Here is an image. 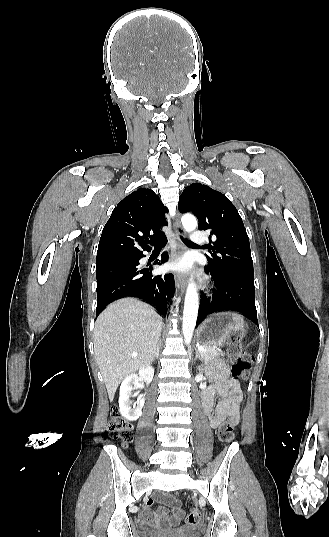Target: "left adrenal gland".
Here are the masks:
<instances>
[{
	"instance_id": "a2214340",
	"label": "left adrenal gland",
	"mask_w": 329,
	"mask_h": 537,
	"mask_svg": "<svg viewBox=\"0 0 329 537\" xmlns=\"http://www.w3.org/2000/svg\"><path fill=\"white\" fill-rule=\"evenodd\" d=\"M195 351H196L195 359L199 358V359L202 361L203 358H202L200 352H199L197 349H196ZM198 369H199V371H201V367H200V366L198 367Z\"/></svg>"
}]
</instances>
